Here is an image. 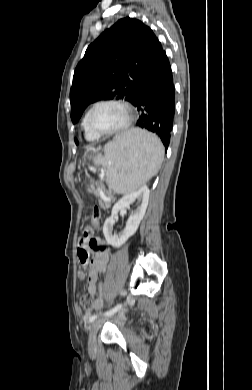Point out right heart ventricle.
Instances as JSON below:
<instances>
[{"label":"right heart ventricle","instance_id":"e07e8e85","mask_svg":"<svg viewBox=\"0 0 252 390\" xmlns=\"http://www.w3.org/2000/svg\"><path fill=\"white\" fill-rule=\"evenodd\" d=\"M89 110L88 109L83 117V120H82V127H83V130H84V134H85V137L87 140L89 141H96L100 138L99 135H97L96 133H94L93 131L90 130V128L88 127V113H89Z\"/></svg>","mask_w":252,"mask_h":390}]
</instances>
